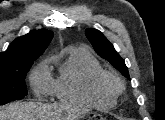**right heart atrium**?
<instances>
[{
  "instance_id": "1",
  "label": "right heart atrium",
  "mask_w": 165,
  "mask_h": 120,
  "mask_svg": "<svg viewBox=\"0 0 165 120\" xmlns=\"http://www.w3.org/2000/svg\"><path fill=\"white\" fill-rule=\"evenodd\" d=\"M30 82L33 90L36 93H47L51 91L52 81L47 72L45 63L37 66L30 76Z\"/></svg>"
}]
</instances>
